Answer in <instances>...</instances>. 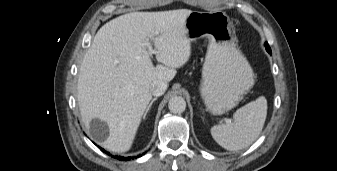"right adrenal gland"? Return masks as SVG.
<instances>
[{"mask_svg": "<svg viewBox=\"0 0 337 171\" xmlns=\"http://www.w3.org/2000/svg\"><path fill=\"white\" fill-rule=\"evenodd\" d=\"M155 100H157V98H153V99L151 100L150 104L148 105V107H147V109H146V111H145V113H144L143 119H145V117H146L148 111L150 110V108H151V106H152V104L154 103Z\"/></svg>", "mask_w": 337, "mask_h": 171, "instance_id": "1", "label": "right adrenal gland"}]
</instances>
